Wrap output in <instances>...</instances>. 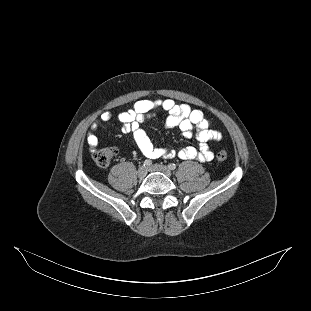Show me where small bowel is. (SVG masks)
Returning a JSON list of instances; mask_svg holds the SVG:
<instances>
[{
	"label": "small bowel",
	"mask_w": 311,
	"mask_h": 311,
	"mask_svg": "<svg viewBox=\"0 0 311 311\" xmlns=\"http://www.w3.org/2000/svg\"><path fill=\"white\" fill-rule=\"evenodd\" d=\"M158 110H164L168 113L165 121L167 128H178L187 138L192 137L193 131L196 130L199 147H186L176 150L154 145L148 134L141 128V124L152 118ZM113 117L111 112H104L91 124L86 141L92 151L98 145L97 129L99 123L108 122ZM116 118L121 123L122 132L132 134L138 148L148 159L178 157L183 160L211 161L214 156L209 149L208 142L222 139V134L211 128L209 120L205 118L201 110L192 109L187 104H177L172 99L137 101L132 109L118 113Z\"/></svg>",
	"instance_id": "obj_1"
}]
</instances>
